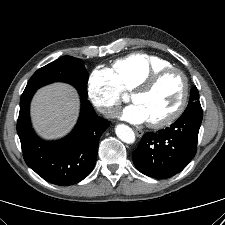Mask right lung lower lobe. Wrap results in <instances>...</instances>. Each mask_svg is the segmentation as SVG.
I'll return each instance as SVG.
<instances>
[{
	"label": "right lung lower lobe",
	"mask_w": 225,
	"mask_h": 225,
	"mask_svg": "<svg viewBox=\"0 0 225 225\" xmlns=\"http://www.w3.org/2000/svg\"><path fill=\"white\" fill-rule=\"evenodd\" d=\"M34 93L23 92L17 121L26 164L52 184L69 186L80 182L93 170L99 139L110 122L97 116L87 98L81 97V113L73 131L59 141H43L30 122L29 105Z\"/></svg>",
	"instance_id": "right-lung-lower-lobe-1"
}]
</instances>
